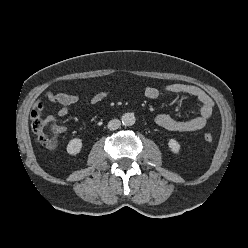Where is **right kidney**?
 <instances>
[{"mask_svg": "<svg viewBox=\"0 0 248 248\" xmlns=\"http://www.w3.org/2000/svg\"><path fill=\"white\" fill-rule=\"evenodd\" d=\"M82 148V140L79 138H74L70 140V142L67 145V152L70 155H76L81 151Z\"/></svg>", "mask_w": 248, "mask_h": 248, "instance_id": "obj_1", "label": "right kidney"}]
</instances>
